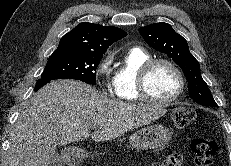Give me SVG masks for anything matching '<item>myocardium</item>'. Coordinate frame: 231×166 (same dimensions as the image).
I'll return each instance as SVG.
<instances>
[{
  "label": "myocardium",
  "mask_w": 231,
  "mask_h": 166,
  "mask_svg": "<svg viewBox=\"0 0 231 166\" xmlns=\"http://www.w3.org/2000/svg\"><path fill=\"white\" fill-rule=\"evenodd\" d=\"M158 64H165L169 66L177 76L178 79V87L177 90L167 99H157L154 98L148 91L147 87V78L150 71ZM185 88V78L184 74L179 68V66L174 63L172 60L167 58H151L146 61L139 69L137 76V92L139 98L149 102L151 104L159 105V106H167L177 100L181 94L183 93Z\"/></svg>",
  "instance_id": "obj_1"
}]
</instances>
